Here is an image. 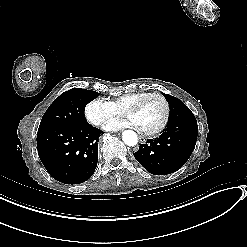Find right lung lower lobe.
Listing matches in <instances>:
<instances>
[{
    "label": "right lung lower lobe",
    "mask_w": 247,
    "mask_h": 247,
    "mask_svg": "<svg viewBox=\"0 0 247 247\" xmlns=\"http://www.w3.org/2000/svg\"><path fill=\"white\" fill-rule=\"evenodd\" d=\"M101 133V130L88 123L39 130V158L55 180L65 184L83 183L95 172Z\"/></svg>",
    "instance_id": "right-lung-lower-lobe-1"
}]
</instances>
